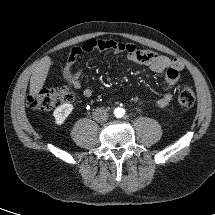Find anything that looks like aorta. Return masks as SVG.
Masks as SVG:
<instances>
[{
	"label": "aorta",
	"mask_w": 215,
	"mask_h": 215,
	"mask_svg": "<svg viewBox=\"0 0 215 215\" xmlns=\"http://www.w3.org/2000/svg\"><path fill=\"white\" fill-rule=\"evenodd\" d=\"M114 114H115V116L117 117V118H121V117H123L124 116V114H125V110L123 109V108H116L115 110H114Z\"/></svg>",
	"instance_id": "1"
}]
</instances>
